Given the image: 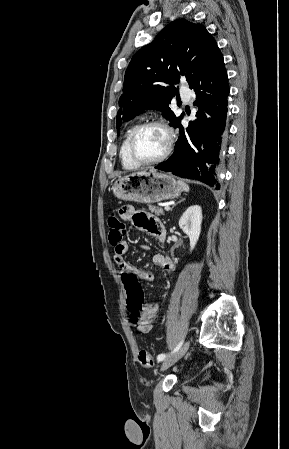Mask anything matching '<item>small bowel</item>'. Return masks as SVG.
I'll return each mask as SVG.
<instances>
[{"label": "small bowel", "mask_w": 289, "mask_h": 449, "mask_svg": "<svg viewBox=\"0 0 289 449\" xmlns=\"http://www.w3.org/2000/svg\"><path fill=\"white\" fill-rule=\"evenodd\" d=\"M121 217L131 222L136 228L147 232L159 241L165 239V229L158 218L145 211L136 210L131 206H125L120 209ZM129 246L126 242H122L119 246L114 248V260L121 271H132L133 276L137 279L145 281H153L154 274L146 269L138 268L132 265L125 259ZM142 250L148 251V246H142ZM154 265L159 266L166 272H172L175 269V265L172 259L161 253H156L152 256ZM159 311V305L157 302H148L142 307L141 320L136 328L142 333H149L153 330V321L156 318Z\"/></svg>", "instance_id": "small-bowel-1"}]
</instances>
